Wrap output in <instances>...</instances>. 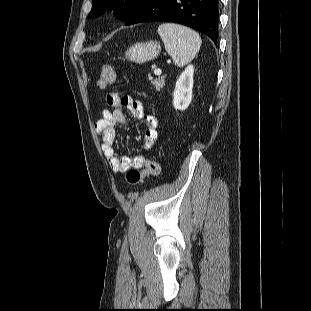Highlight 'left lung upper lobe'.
<instances>
[{
    "instance_id": "5c2ea615",
    "label": "left lung upper lobe",
    "mask_w": 311,
    "mask_h": 311,
    "mask_svg": "<svg viewBox=\"0 0 311 311\" xmlns=\"http://www.w3.org/2000/svg\"><path fill=\"white\" fill-rule=\"evenodd\" d=\"M141 0H92V9L88 18H94L108 9H115L117 16L124 20L126 16L139 4Z\"/></svg>"
}]
</instances>
